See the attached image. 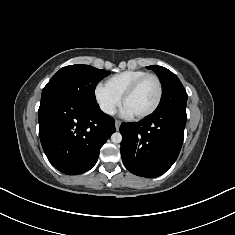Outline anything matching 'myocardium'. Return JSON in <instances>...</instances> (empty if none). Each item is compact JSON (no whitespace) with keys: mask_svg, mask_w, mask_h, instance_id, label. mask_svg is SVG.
I'll return each instance as SVG.
<instances>
[{"mask_svg":"<svg viewBox=\"0 0 235 235\" xmlns=\"http://www.w3.org/2000/svg\"><path fill=\"white\" fill-rule=\"evenodd\" d=\"M148 78H154L156 80L157 85H158V97H157L156 102L154 103V105L150 109H148L147 111H145L143 113L132 115V117L135 119H143V118L150 116L160 106L162 98H163V84L161 82V79L156 74L147 73L146 75H144V76L138 78L136 81H134L126 89V91L122 94V96L120 98L121 105L123 106L126 99H128L131 95H133L135 93V91L138 89V87Z\"/></svg>","mask_w":235,"mask_h":235,"instance_id":"obj_1","label":"myocardium"}]
</instances>
